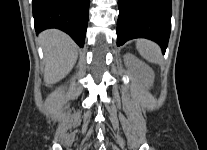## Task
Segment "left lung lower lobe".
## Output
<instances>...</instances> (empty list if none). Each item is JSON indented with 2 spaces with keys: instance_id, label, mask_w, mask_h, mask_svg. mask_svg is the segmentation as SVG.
Segmentation results:
<instances>
[{
  "instance_id": "left-lung-lower-lobe-1",
  "label": "left lung lower lobe",
  "mask_w": 207,
  "mask_h": 150,
  "mask_svg": "<svg viewBox=\"0 0 207 150\" xmlns=\"http://www.w3.org/2000/svg\"><path fill=\"white\" fill-rule=\"evenodd\" d=\"M117 45L133 38L157 42L163 53L171 29V0H118Z\"/></svg>"
}]
</instances>
